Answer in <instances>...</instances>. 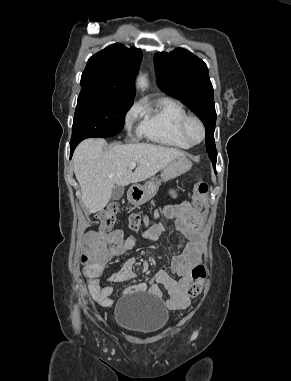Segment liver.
<instances>
[{"label": "liver", "instance_id": "6515ba94", "mask_svg": "<svg viewBox=\"0 0 291 381\" xmlns=\"http://www.w3.org/2000/svg\"><path fill=\"white\" fill-rule=\"evenodd\" d=\"M103 139H86L74 152V173L89 213L108 204L115 185L127 186L144 181L185 153L171 147L147 143L117 144L104 151ZM136 163L134 172L129 165Z\"/></svg>", "mask_w": 291, "mask_h": 381}]
</instances>
